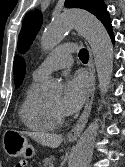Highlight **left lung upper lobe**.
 I'll return each instance as SVG.
<instances>
[{
  "mask_svg": "<svg viewBox=\"0 0 125 167\" xmlns=\"http://www.w3.org/2000/svg\"><path fill=\"white\" fill-rule=\"evenodd\" d=\"M67 8H82L94 14L102 23L106 25L111 22L109 13L103 0H65ZM42 24V15L39 10L29 12L24 20L18 37V48L21 52L27 50Z\"/></svg>",
  "mask_w": 125,
  "mask_h": 167,
  "instance_id": "1",
  "label": "left lung upper lobe"
}]
</instances>
